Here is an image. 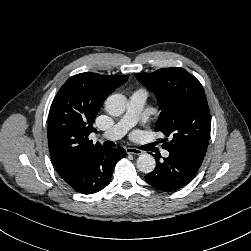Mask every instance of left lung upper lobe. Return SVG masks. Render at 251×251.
Instances as JSON below:
<instances>
[{
	"label": "left lung upper lobe",
	"mask_w": 251,
	"mask_h": 251,
	"mask_svg": "<svg viewBox=\"0 0 251 251\" xmlns=\"http://www.w3.org/2000/svg\"><path fill=\"white\" fill-rule=\"evenodd\" d=\"M136 78L157 97L161 113L155 131L170 139L162 140V148L203 162L210 139L211 117L201 83L183 68L139 73Z\"/></svg>",
	"instance_id": "5c2ea615"
}]
</instances>
